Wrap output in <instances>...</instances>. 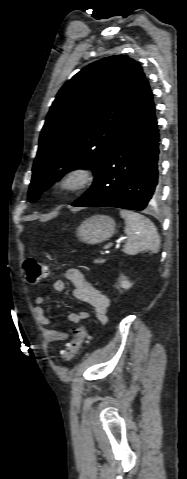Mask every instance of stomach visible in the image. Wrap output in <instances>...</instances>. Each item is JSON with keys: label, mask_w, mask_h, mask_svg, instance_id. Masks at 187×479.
I'll list each match as a JSON object with an SVG mask.
<instances>
[{"label": "stomach", "mask_w": 187, "mask_h": 479, "mask_svg": "<svg viewBox=\"0 0 187 479\" xmlns=\"http://www.w3.org/2000/svg\"><path fill=\"white\" fill-rule=\"evenodd\" d=\"M115 227V221L111 217L94 215L80 224L76 235L87 244H97L112 237Z\"/></svg>", "instance_id": "1"}]
</instances>
